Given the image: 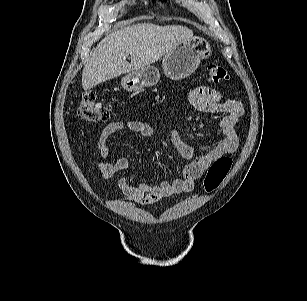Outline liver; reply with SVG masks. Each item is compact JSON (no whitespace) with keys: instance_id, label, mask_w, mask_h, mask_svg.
<instances>
[{"instance_id":"1","label":"liver","mask_w":307,"mask_h":301,"mask_svg":"<svg viewBox=\"0 0 307 301\" xmlns=\"http://www.w3.org/2000/svg\"><path fill=\"white\" fill-rule=\"evenodd\" d=\"M192 36L193 32L181 25L152 23L114 31L100 41L88 58L82 72V87L89 90L119 75L143 69ZM129 54L131 63L126 61Z\"/></svg>"}]
</instances>
